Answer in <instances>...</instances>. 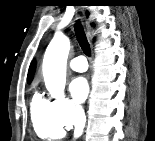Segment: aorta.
<instances>
[{"mask_svg": "<svg viewBox=\"0 0 155 141\" xmlns=\"http://www.w3.org/2000/svg\"><path fill=\"white\" fill-rule=\"evenodd\" d=\"M69 49V38L62 33H56L44 55L42 71L45 86L51 97L56 99L64 98Z\"/></svg>", "mask_w": 155, "mask_h": 141, "instance_id": "aorta-1", "label": "aorta"}]
</instances>
